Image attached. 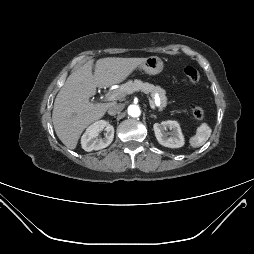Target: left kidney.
Listing matches in <instances>:
<instances>
[{"instance_id":"left-kidney-1","label":"left kidney","mask_w":254,"mask_h":254,"mask_svg":"<svg viewBox=\"0 0 254 254\" xmlns=\"http://www.w3.org/2000/svg\"><path fill=\"white\" fill-rule=\"evenodd\" d=\"M153 128L161 145L169 148H180L184 145V136L177 121L168 120L155 123ZM167 129H170L171 132H166Z\"/></svg>"}]
</instances>
